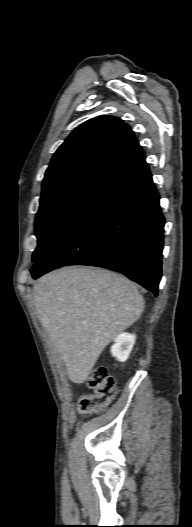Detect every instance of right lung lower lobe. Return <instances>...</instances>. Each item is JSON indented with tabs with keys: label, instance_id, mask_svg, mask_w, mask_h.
Listing matches in <instances>:
<instances>
[{
	"label": "right lung lower lobe",
	"instance_id": "right-lung-lower-lobe-1",
	"mask_svg": "<svg viewBox=\"0 0 192 527\" xmlns=\"http://www.w3.org/2000/svg\"><path fill=\"white\" fill-rule=\"evenodd\" d=\"M165 219L144 152L101 188L49 252L34 279L66 265L126 275L158 294Z\"/></svg>",
	"mask_w": 192,
	"mask_h": 527
}]
</instances>
